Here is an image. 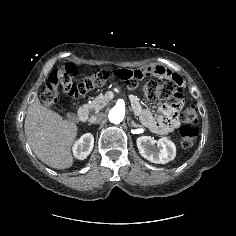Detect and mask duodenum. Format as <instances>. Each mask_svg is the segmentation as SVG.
I'll return each instance as SVG.
<instances>
[{
  "label": "duodenum",
  "mask_w": 236,
  "mask_h": 236,
  "mask_svg": "<svg viewBox=\"0 0 236 236\" xmlns=\"http://www.w3.org/2000/svg\"><path fill=\"white\" fill-rule=\"evenodd\" d=\"M78 118L81 122H86L89 118V110L87 106L80 105L77 110Z\"/></svg>",
  "instance_id": "duodenum-1"
}]
</instances>
